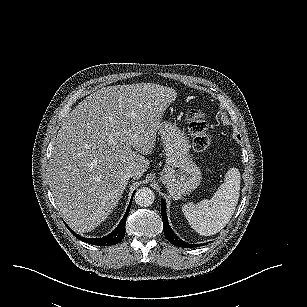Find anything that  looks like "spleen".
<instances>
[{
  "label": "spleen",
  "instance_id": "3e777b00",
  "mask_svg": "<svg viewBox=\"0 0 307 307\" xmlns=\"http://www.w3.org/2000/svg\"><path fill=\"white\" fill-rule=\"evenodd\" d=\"M241 176L237 168L225 174L224 182L213 197L197 204L182 206L189 225L202 236H211L221 231L230 221L240 195Z\"/></svg>",
  "mask_w": 307,
  "mask_h": 307
}]
</instances>
